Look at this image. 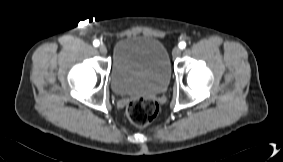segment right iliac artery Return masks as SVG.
I'll return each mask as SVG.
<instances>
[{
    "label": "right iliac artery",
    "mask_w": 283,
    "mask_h": 162,
    "mask_svg": "<svg viewBox=\"0 0 283 162\" xmlns=\"http://www.w3.org/2000/svg\"><path fill=\"white\" fill-rule=\"evenodd\" d=\"M99 41L98 40H94V42H93V45L95 46V47H98L99 46Z\"/></svg>",
    "instance_id": "right-iliac-artery-1"
}]
</instances>
